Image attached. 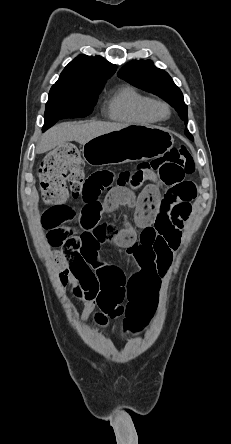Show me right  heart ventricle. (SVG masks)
<instances>
[{"instance_id": "1", "label": "right heart ventricle", "mask_w": 231, "mask_h": 444, "mask_svg": "<svg viewBox=\"0 0 231 444\" xmlns=\"http://www.w3.org/2000/svg\"><path fill=\"white\" fill-rule=\"evenodd\" d=\"M152 98L133 86H124L108 100L107 114L110 119L127 123L150 124L157 118L150 111Z\"/></svg>"}]
</instances>
